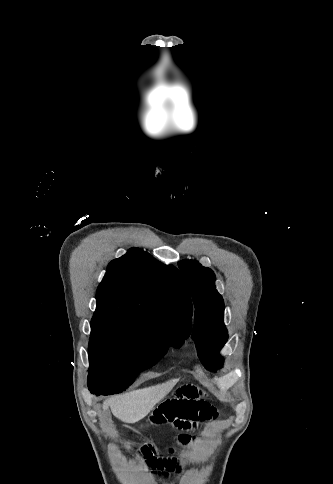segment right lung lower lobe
<instances>
[{
	"mask_svg": "<svg viewBox=\"0 0 333 484\" xmlns=\"http://www.w3.org/2000/svg\"><path fill=\"white\" fill-rule=\"evenodd\" d=\"M89 390L92 394H95V395L104 394V392L101 390H94V389H89Z\"/></svg>",
	"mask_w": 333,
	"mask_h": 484,
	"instance_id": "1",
	"label": "right lung lower lobe"
}]
</instances>
